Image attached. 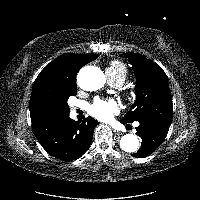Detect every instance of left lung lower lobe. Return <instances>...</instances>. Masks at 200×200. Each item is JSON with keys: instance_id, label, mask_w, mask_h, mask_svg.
<instances>
[{"instance_id": "left-lung-lower-lobe-1", "label": "left lung lower lobe", "mask_w": 200, "mask_h": 200, "mask_svg": "<svg viewBox=\"0 0 200 200\" xmlns=\"http://www.w3.org/2000/svg\"><path fill=\"white\" fill-rule=\"evenodd\" d=\"M122 124H127L121 120ZM140 125L136 128L137 134L141 137V148L134 154L135 157L142 158L150 155L163 142L169 130V123L157 122L155 120L139 121Z\"/></svg>"}]
</instances>
